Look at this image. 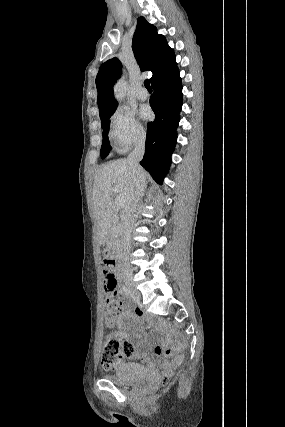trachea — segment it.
Wrapping results in <instances>:
<instances>
[{"label": "trachea", "instance_id": "trachea-1", "mask_svg": "<svg viewBox=\"0 0 285 427\" xmlns=\"http://www.w3.org/2000/svg\"><path fill=\"white\" fill-rule=\"evenodd\" d=\"M144 85H145V88H146L147 90H152V88H151V86H150V83H149L148 79H146V80L144 81Z\"/></svg>", "mask_w": 285, "mask_h": 427}]
</instances>
